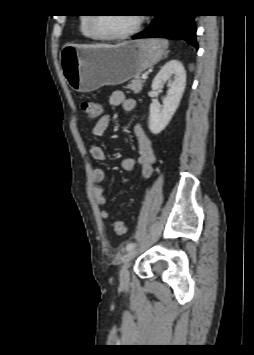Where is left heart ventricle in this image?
Returning a JSON list of instances; mask_svg holds the SVG:
<instances>
[{"label": "left heart ventricle", "instance_id": "b2bd125f", "mask_svg": "<svg viewBox=\"0 0 254 355\" xmlns=\"http://www.w3.org/2000/svg\"><path fill=\"white\" fill-rule=\"evenodd\" d=\"M135 21L134 15H114L100 18L99 30L107 35L121 34L130 29Z\"/></svg>", "mask_w": 254, "mask_h": 355}]
</instances>
